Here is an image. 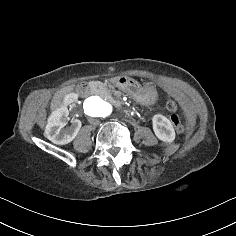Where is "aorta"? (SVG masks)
<instances>
[{
  "label": "aorta",
  "instance_id": "1",
  "mask_svg": "<svg viewBox=\"0 0 236 236\" xmlns=\"http://www.w3.org/2000/svg\"><path fill=\"white\" fill-rule=\"evenodd\" d=\"M83 110L88 118H106L112 113L113 107L101 97L91 96L83 102Z\"/></svg>",
  "mask_w": 236,
  "mask_h": 236
}]
</instances>
